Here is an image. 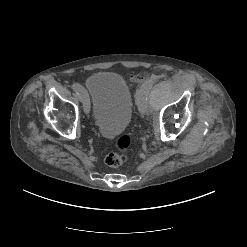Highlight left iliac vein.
Instances as JSON below:
<instances>
[{"mask_svg":"<svg viewBox=\"0 0 247 247\" xmlns=\"http://www.w3.org/2000/svg\"><path fill=\"white\" fill-rule=\"evenodd\" d=\"M137 103H138L140 113L147 115L149 113V109L147 105V92L144 89H141L138 92Z\"/></svg>","mask_w":247,"mask_h":247,"instance_id":"1","label":"left iliac vein"}]
</instances>
